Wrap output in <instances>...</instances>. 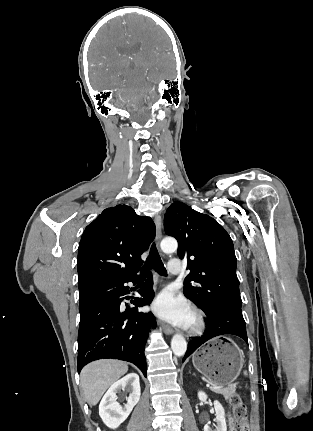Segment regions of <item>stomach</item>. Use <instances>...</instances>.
<instances>
[{
	"label": "stomach",
	"mask_w": 313,
	"mask_h": 431,
	"mask_svg": "<svg viewBox=\"0 0 313 431\" xmlns=\"http://www.w3.org/2000/svg\"><path fill=\"white\" fill-rule=\"evenodd\" d=\"M194 367L215 386L231 384L243 367V354L227 337H217L200 348L192 357Z\"/></svg>",
	"instance_id": "1"
}]
</instances>
